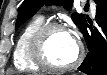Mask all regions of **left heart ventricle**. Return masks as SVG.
<instances>
[{
  "label": "left heart ventricle",
  "instance_id": "b2bd125f",
  "mask_svg": "<svg viewBox=\"0 0 107 75\" xmlns=\"http://www.w3.org/2000/svg\"><path fill=\"white\" fill-rule=\"evenodd\" d=\"M45 50L53 63L64 65L75 58L77 47L66 31L53 30L46 38Z\"/></svg>",
  "mask_w": 107,
  "mask_h": 75
}]
</instances>
